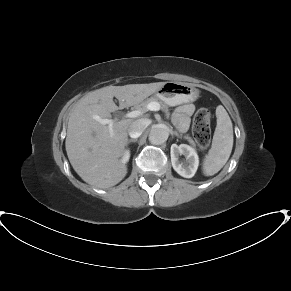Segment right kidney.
Listing matches in <instances>:
<instances>
[{
	"label": "right kidney",
	"instance_id": "ca27d5eb",
	"mask_svg": "<svg viewBox=\"0 0 291 291\" xmlns=\"http://www.w3.org/2000/svg\"><path fill=\"white\" fill-rule=\"evenodd\" d=\"M129 157H130V152L129 150H127L124 152L121 161L125 164L129 160Z\"/></svg>",
	"mask_w": 291,
	"mask_h": 291
}]
</instances>
